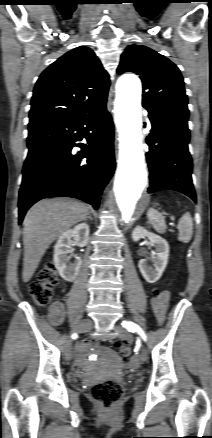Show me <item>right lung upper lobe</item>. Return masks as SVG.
<instances>
[{
  "label": "right lung upper lobe",
  "instance_id": "right-lung-upper-lobe-1",
  "mask_svg": "<svg viewBox=\"0 0 212 438\" xmlns=\"http://www.w3.org/2000/svg\"><path fill=\"white\" fill-rule=\"evenodd\" d=\"M109 75L95 53L77 47L52 63L36 82L29 125L79 118L106 105Z\"/></svg>",
  "mask_w": 212,
  "mask_h": 438
}]
</instances>
